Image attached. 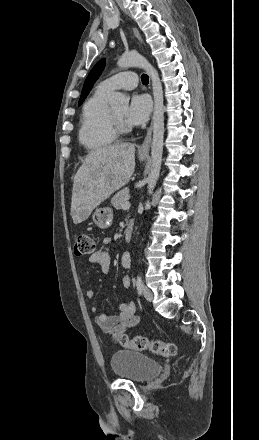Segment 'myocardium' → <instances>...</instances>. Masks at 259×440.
<instances>
[{
	"instance_id": "myocardium-1",
	"label": "myocardium",
	"mask_w": 259,
	"mask_h": 440,
	"mask_svg": "<svg viewBox=\"0 0 259 440\" xmlns=\"http://www.w3.org/2000/svg\"><path fill=\"white\" fill-rule=\"evenodd\" d=\"M111 121L117 135H126L131 132V127L125 121L118 118L113 110H111Z\"/></svg>"
}]
</instances>
